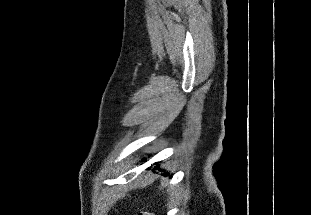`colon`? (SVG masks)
<instances>
[{
    "instance_id": "obj_1",
    "label": "colon",
    "mask_w": 311,
    "mask_h": 215,
    "mask_svg": "<svg viewBox=\"0 0 311 215\" xmlns=\"http://www.w3.org/2000/svg\"><path fill=\"white\" fill-rule=\"evenodd\" d=\"M138 215H155V214L150 213V212H140V213H138Z\"/></svg>"
}]
</instances>
